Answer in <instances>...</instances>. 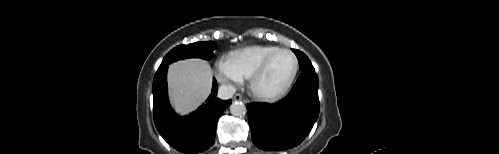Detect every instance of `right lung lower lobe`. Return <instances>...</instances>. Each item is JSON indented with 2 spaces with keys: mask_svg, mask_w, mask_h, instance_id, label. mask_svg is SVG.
<instances>
[{
  "mask_svg": "<svg viewBox=\"0 0 499 154\" xmlns=\"http://www.w3.org/2000/svg\"><path fill=\"white\" fill-rule=\"evenodd\" d=\"M168 66L159 67L153 82V114L157 130L173 148L187 154L203 152L215 141L216 125L231 100L216 98L217 83L206 103L188 116H178L170 107L167 94Z\"/></svg>",
  "mask_w": 499,
  "mask_h": 154,
  "instance_id": "obj_1",
  "label": "right lung lower lobe"
}]
</instances>
